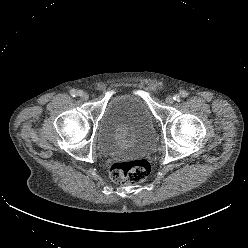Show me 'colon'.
I'll list each match as a JSON object with an SVG mask.
<instances>
[{
	"instance_id": "1",
	"label": "colon",
	"mask_w": 248,
	"mask_h": 248,
	"mask_svg": "<svg viewBox=\"0 0 248 248\" xmlns=\"http://www.w3.org/2000/svg\"><path fill=\"white\" fill-rule=\"evenodd\" d=\"M151 166L146 159L115 162L109 169V175L117 184H136L150 174Z\"/></svg>"
}]
</instances>
